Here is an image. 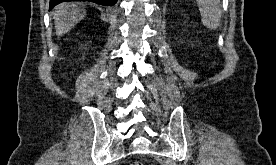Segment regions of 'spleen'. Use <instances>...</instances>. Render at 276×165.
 Returning <instances> with one entry per match:
<instances>
[{"instance_id":"obj_1","label":"spleen","mask_w":276,"mask_h":165,"mask_svg":"<svg viewBox=\"0 0 276 165\" xmlns=\"http://www.w3.org/2000/svg\"><path fill=\"white\" fill-rule=\"evenodd\" d=\"M201 21L208 29H216L221 21L222 10L220 0H196Z\"/></svg>"}]
</instances>
